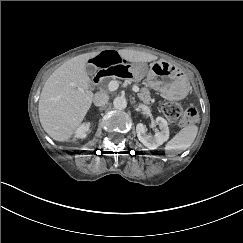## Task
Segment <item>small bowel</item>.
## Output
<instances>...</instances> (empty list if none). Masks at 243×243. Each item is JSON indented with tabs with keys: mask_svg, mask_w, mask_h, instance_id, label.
Returning a JSON list of instances; mask_svg holds the SVG:
<instances>
[{
	"mask_svg": "<svg viewBox=\"0 0 243 243\" xmlns=\"http://www.w3.org/2000/svg\"><path fill=\"white\" fill-rule=\"evenodd\" d=\"M89 62L102 68L108 69L117 65L128 64V60L116 50H106L91 57Z\"/></svg>",
	"mask_w": 243,
	"mask_h": 243,
	"instance_id": "1",
	"label": "small bowel"
}]
</instances>
